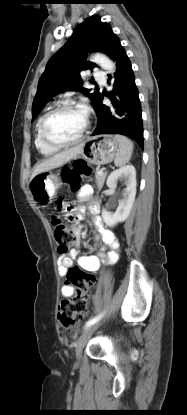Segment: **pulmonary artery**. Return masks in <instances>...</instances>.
I'll return each mask as SVG.
<instances>
[{
  "label": "pulmonary artery",
  "instance_id": "1",
  "mask_svg": "<svg viewBox=\"0 0 187 415\" xmlns=\"http://www.w3.org/2000/svg\"><path fill=\"white\" fill-rule=\"evenodd\" d=\"M93 76H94V79H95L97 82H99V83H100V84H102V85H104V84H105V76H104V73H103L102 71L95 70V71L93 72Z\"/></svg>",
  "mask_w": 187,
  "mask_h": 415
}]
</instances>
